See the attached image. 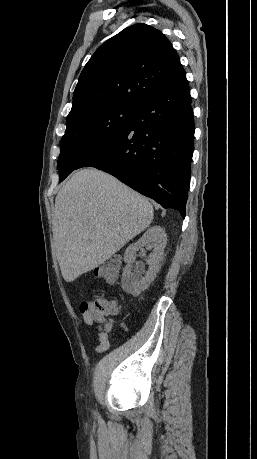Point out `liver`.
I'll use <instances>...</instances> for the list:
<instances>
[{"instance_id":"obj_1","label":"liver","mask_w":257,"mask_h":459,"mask_svg":"<svg viewBox=\"0 0 257 459\" xmlns=\"http://www.w3.org/2000/svg\"><path fill=\"white\" fill-rule=\"evenodd\" d=\"M152 204L115 177L94 169L76 172L55 199L53 238L65 281L104 263L149 227Z\"/></svg>"}]
</instances>
